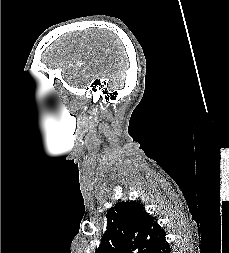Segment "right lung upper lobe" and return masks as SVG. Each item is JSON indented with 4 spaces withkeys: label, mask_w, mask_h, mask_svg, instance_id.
I'll return each instance as SVG.
<instances>
[{
    "label": "right lung upper lobe",
    "mask_w": 229,
    "mask_h": 253,
    "mask_svg": "<svg viewBox=\"0 0 229 253\" xmlns=\"http://www.w3.org/2000/svg\"><path fill=\"white\" fill-rule=\"evenodd\" d=\"M107 229L95 253H152L165 231L136 201L119 202L107 213Z\"/></svg>",
    "instance_id": "1"
}]
</instances>
